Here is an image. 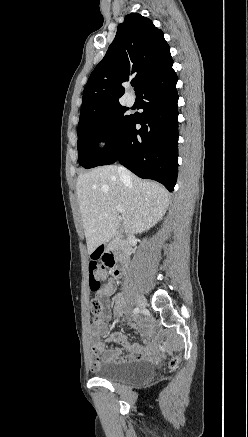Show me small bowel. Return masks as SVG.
I'll return each instance as SVG.
<instances>
[{
	"label": "small bowel",
	"mask_w": 248,
	"mask_h": 437,
	"mask_svg": "<svg viewBox=\"0 0 248 437\" xmlns=\"http://www.w3.org/2000/svg\"><path fill=\"white\" fill-rule=\"evenodd\" d=\"M117 293V286L114 280H110L106 285H101L100 289L96 291V299L101 304L109 309L113 303H115L116 309L120 310L124 306V299L121 294ZM115 297L111 300V296ZM109 321L108 314L99 315L95 318L91 327V351L92 356L90 359V367L96 370L100 366L99 356L103 354V360L106 362H126L136 359H145L153 355L154 349L151 344V332L148 324L144 320H140L135 327H139L145 340V344H131L121 333H113L109 336V340L117 341L123 345L127 354H123L120 348L114 347L104 351V344L100 340V334L107 329V323Z\"/></svg>",
	"instance_id": "1"
}]
</instances>
